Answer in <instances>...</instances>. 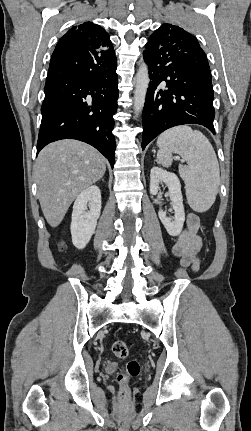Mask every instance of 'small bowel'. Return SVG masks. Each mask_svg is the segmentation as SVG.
I'll list each match as a JSON object with an SVG mask.
<instances>
[{
    "label": "small bowel",
    "mask_w": 251,
    "mask_h": 431,
    "mask_svg": "<svg viewBox=\"0 0 251 431\" xmlns=\"http://www.w3.org/2000/svg\"><path fill=\"white\" fill-rule=\"evenodd\" d=\"M200 220L197 215L190 213L185 226L176 236L172 246V254L179 258L180 264L196 271L200 265L199 252L202 248V238L198 234Z\"/></svg>",
    "instance_id": "obj_1"
}]
</instances>
